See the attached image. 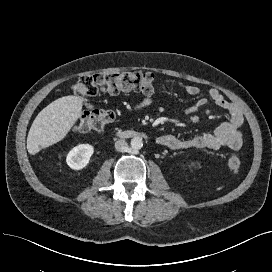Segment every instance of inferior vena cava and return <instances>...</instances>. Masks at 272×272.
I'll list each match as a JSON object with an SVG mask.
<instances>
[{"label": "inferior vena cava", "instance_id": "inferior-vena-cava-1", "mask_svg": "<svg viewBox=\"0 0 272 272\" xmlns=\"http://www.w3.org/2000/svg\"><path fill=\"white\" fill-rule=\"evenodd\" d=\"M115 149L119 152H125L128 149V144L125 140H118L115 142Z\"/></svg>", "mask_w": 272, "mask_h": 272}]
</instances>
